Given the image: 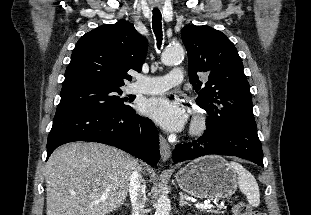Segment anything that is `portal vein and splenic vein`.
<instances>
[{
    "instance_id": "obj_1",
    "label": "portal vein and splenic vein",
    "mask_w": 311,
    "mask_h": 215,
    "mask_svg": "<svg viewBox=\"0 0 311 215\" xmlns=\"http://www.w3.org/2000/svg\"><path fill=\"white\" fill-rule=\"evenodd\" d=\"M195 206L197 208H201V209H206V208H212L213 205L212 204H209V203H204V204H195Z\"/></svg>"
}]
</instances>
